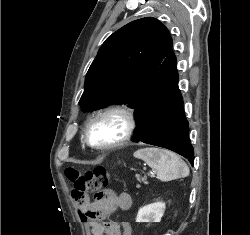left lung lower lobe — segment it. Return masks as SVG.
I'll return each mask as SVG.
<instances>
[{"mask_svg": "<svg viewBox=\"0 0 250 235\" xmlns=\"http://www.w3.org/2000/svg\"><path fill=\"white\" fill-rule=\"evenodd\" d=\"M135 110L138 127L134 130L136 136L132 141L172 150L193 165L194 152L188 136V122L178 88L176 57L172 50L139 99Z\"/></svg>", "mask_w": 250, "mask_h": 235, "instance_id": "left-lung-lower-lobe-1", "label": "left lung lower lobe"}]
</instances>
